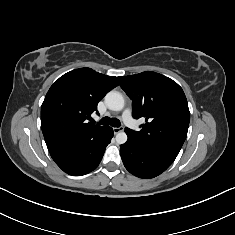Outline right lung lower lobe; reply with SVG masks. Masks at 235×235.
<instances>
[{"label": "right lung lower lobe", "instance_id": "1", "mask_svg": "<svg viewBox=\"0 0 235 235\" xmlns=\"http://www.w3.org/2000/svg\"><path fill=\"white\" fill-rule=\"evenodd\" d=\"M112 137L113 129L107 127L94 137L74 143L64 150L51 153V156L67 174L85 175L97 168Z\"/></svg>", "mask_w": 235, "mask_h": 235}]
</instances>
